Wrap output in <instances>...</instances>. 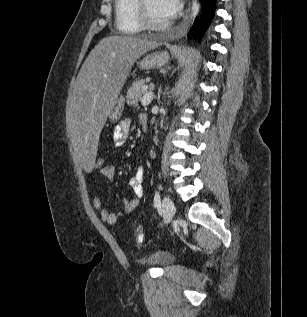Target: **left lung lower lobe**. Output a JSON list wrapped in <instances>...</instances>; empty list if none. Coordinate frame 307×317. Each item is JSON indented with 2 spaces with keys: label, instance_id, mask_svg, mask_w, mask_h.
Here are the masks:
<instances>
[{
  "label": "left lung lower lobe",
  "instance_id": "obj_1",
  "mask_svg": "<svg viewBox=\"0 0 307 317\" xmlns=\"http://www.w3.org/2000/svg\"><path fill=\"white\" fill-rule=\"evenodd\" d=\"M203 2V19H202V28L205 29L207 28L211 17L213 16L214 10H215V3L216 0H202ZM197 22H194L193 27L191 28L188 37L191 38L196 30H197Z\"/></svg>",
  "mask_w": 307,
  "mask_h": 317
}]
</instances>
